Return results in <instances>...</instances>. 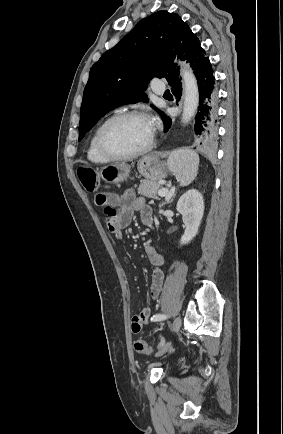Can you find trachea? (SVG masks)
<instances>
[{"label": "trachea", "mask_w": 283, "mask_h": 434, "mask_svg": "<svg viewBox=\"0 0 283 434\" xmlns=\"http://www.w3.org/2000/svg\"><path fill=\"white\" fill-rule=\"evenodd\" d=\"M167 94H170L169 90L165 91V93H164V95H167Z\"/></svg>", "instance_id": "obj_1"}]
</instances>
